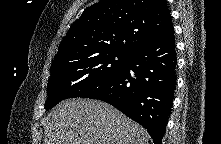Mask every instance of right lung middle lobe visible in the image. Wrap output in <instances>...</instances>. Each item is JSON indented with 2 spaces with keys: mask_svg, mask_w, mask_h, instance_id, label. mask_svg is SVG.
<instances>
[{
  "mask_svg": "<svg viewBox=\"0 0 221 144\" xmlns=\"http://www.w3.org/2000/svg\"><path fill=\"white\" fill-rule=\"evenodd\" d=\"M128 55L105 52L53 68L47 84L46 110L64 99L80 97L109 80L123 67Z\"/></svg>",
  "mask_w": 221,
  "mask_h": 144,
  "instance_id": "1",
  "label": "right lung middle lobe"
}]
</instances>
